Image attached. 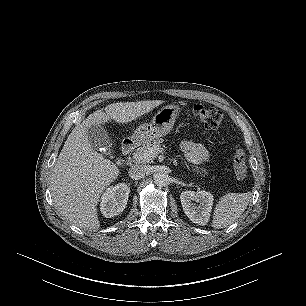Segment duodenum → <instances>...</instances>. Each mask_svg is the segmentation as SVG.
<instances>
[{"mask_svg": "<svg viewBox=\"0 0 306 306\" xmlns=\"http://www.w3.org/2000/svg\"><path fill=\"white\" fill-rule=\"evenodd\" d=\"M134 147L135 141L131 139H126L121 146L122 154L125 156L129 155L133 151Z\"/></svg>", "mask_w": 306, "mask_h": 306, "instance_id": "duodenum-1", "label": "duodenum"}]
</instances>
